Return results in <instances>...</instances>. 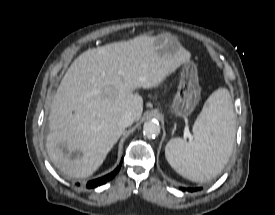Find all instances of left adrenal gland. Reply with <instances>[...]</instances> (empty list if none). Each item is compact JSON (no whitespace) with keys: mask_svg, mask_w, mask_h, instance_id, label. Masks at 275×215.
<instances>
[{"mask_svg":"<svg viewBox=\"0 0 275 215\" xmlns=\"http://www.w3.org/2000/svg\"><path fill=\"white\" fill-rule=\"evenodd\" d=\"M176 129V124L174 125V129H173V131Z\"/></svg>","mask_w":275,"mask_h":215,"instance_id":"a2214340","label":"left adrenal gland"}]
</instances>
